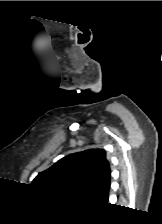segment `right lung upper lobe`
<instances>
[{
    "label": "right lung upper lobe",
    "instance_id": "right-lung-upper-lobe-1",
    "mask_svg": "<svg viewBox=\"0 0 162 224\" xmlns=\"http://www.w3.org/2000/svg\"><path fill=\"white\" fill-rule=\"evenodd\" d=\"M102 149H90L63 157L39 173L32 185L52 193L71 194L88 204L106 203L111 170Z\"/></svg>",
    "mask_w": 162,
    "mask_h": 224
}]
</instances>
